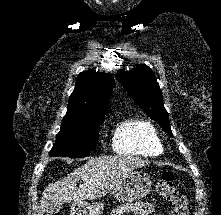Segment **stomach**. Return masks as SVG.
Segmentation results:
<instances>
[{"instance_id": "obj_1", "label": "stomach", "mask_w": 221, "mask_h": 215, "mask_svg": "<svg viewBox=\"0 0 221 215\" xmlns=\"http://www.w3.org/2000/svg\"><path fill=\"white\" fill-rule=\"evenodd\" d=\"M150 176L142 171H133L112 192L120 202H133L146 196L151 190ZM103 204L73 203L71 215H102Z\"/></svg>"}]
</instances>
